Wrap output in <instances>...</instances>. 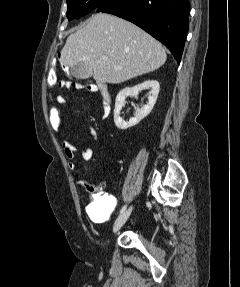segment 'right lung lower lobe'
<instances>
[{
  "label": "right lung lower lobe",
  "instance_id": "obj_1",
  "mask_svg": "<svg viewBox=\"0 0 240 287\" xmlns=\"http://www.w3.org/2000/svg\"><path fill=\"white\" fill-rule=\"evenodd\" d=\"M189 0H106L97 12L131 21L161 41L181 61L188 32Z\"/></svg>",
  "mask_w": 240,
  "mask_h": 287
}]
</instances>
